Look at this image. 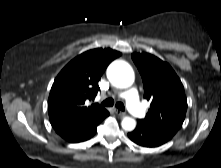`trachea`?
Returning <instances> with one entry per match:
<instances>
[{"label":"trachea","instance_id":"trachea-1","mask_svg":"<svg viewBox=\"0 0 221 168\" xmlns=\"http://www.w3.org/2000/svg\"><path fill=\"white\" fill-rule=\"evenodd\" d=\"M102 105L108 106V107L113 106V105H114V100H113L112 98H108V99H106V100H104V101L102 102ZM115 106H116L118 109L122 110V111L125 110V107H124L123 103H121V102H117V103L115 104Z\"/></svg>","mask_w":221,"mask_h":168}]
</instances>
